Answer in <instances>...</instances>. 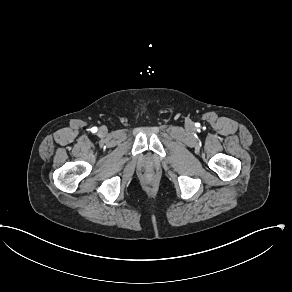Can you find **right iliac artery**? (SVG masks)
<instances>
[{"instance_id": "1", "label": "right iliac artery", "mask_w": 292, "mask_h": 292, "mask_svg": "<svg viewBox=\"0 0 292 292\" xmlns=\"http://www.w3.org/2000/svg\"><path fill=\"white\" fill-rule=\"evenodd\" d=\"M97 127H93L92 129H91V131L93 132V133H95V132H97Z\"/></svg>"}]
</instances>
